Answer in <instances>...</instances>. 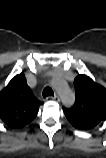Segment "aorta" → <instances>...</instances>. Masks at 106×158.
I'll return each instance as SVG.
<instances>
[{"label":"aorta","instance_id":"762f6f07","mask_svg":"<svg viewBox=\"0 0 106 158\" xmlns=\"http://www.w3.org/2000/svg\"><path fill=\"white\" fill-rule=\"evenodd\" d=\"M55 87L57 88V90L61 95L62 103L65 106L73 105L75 101L74 93L69 88L65 87L64 84L62 83L55 84Z\"/></svg>","mask_w":106,"mask_h":158}]
</instances>
